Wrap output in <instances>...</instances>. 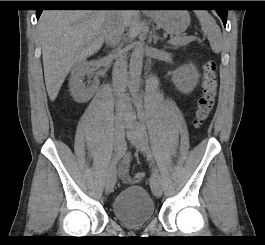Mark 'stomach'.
<instances>
[{
  "label": "stomach",
  "instance_id": "0dacf381",
  "mask_svg": "<svg viewBox=\"0 0 265 245\" xmlns=\"http://www.w3.org/2000/svg\"><path fill=\"white\" fill-rule=\"evenodd\" d=\"M151 17L159 27L175 35L184 32L190 24V15L186 10H157Z\"/></svg>",
  "mask_w": 265,
  "mask_h": 245
}]
</instances>
